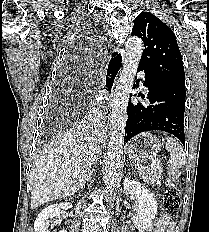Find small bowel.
Here are the masks:
<instances>
[{"mask_svg":"<svg viewBox=\"0 0 209 232\" xmlns=\"http://www.w3.org/2000/svg\"><path fill=\"white\" fill-rule=\"evenodd\" d=\"M172 225L163 219H157L153 226L147 232H171Z\"/></svg>","mask_w":209,"mask_h":232,"instance_id":"c3829d8e","label":"small bowel"}]
</instances>
